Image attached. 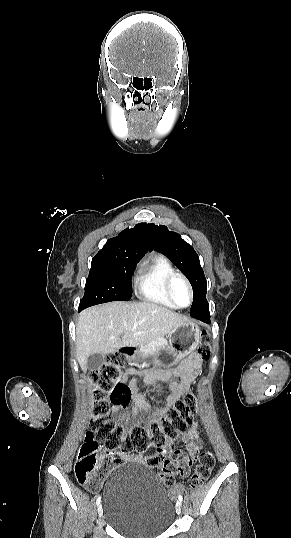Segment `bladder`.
Wrapping results in <instances>:
<instances>
[{
  "instance_id": "obj_1",
  "label": "bladder",
  "mask_w": 291,
  "mask_h": 538,
  "mask_svg": "<svg viewBox=\"0 0 291 538\" xmlns=\"http://www.w3.org/2000/svg\"><path fill=\"white\" fill-rule=\"evenodd\" d=\"M102 510L109 526L128 538H157L174 520L173 501L153 471L136 463L108 477Z\"/></svg>"
}]
</instances>
